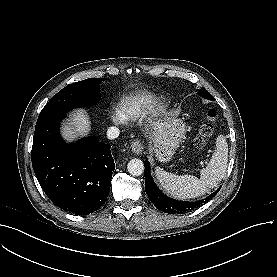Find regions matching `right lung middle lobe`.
<instances>
[{
    "instance_id": "right-lung-middle-lobe-1",
    "label": "right lung middle lobe",
    "mask_w": 277,
    "mask_h": 277,
    "mask_svg": "<svg viewBox=\"0 0 277 277\" xmlns=\"http://www.w3.org/2000/svg\"><path fill=\"white\" fill-rule=\"evenodd\" d=\"M102 80L103 78H89L67 85L45 105L38 118L95 103L100 97L98 84Z\"/></svg>"
}]
</instances>
